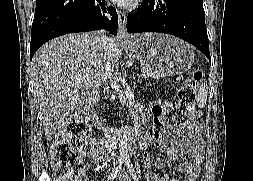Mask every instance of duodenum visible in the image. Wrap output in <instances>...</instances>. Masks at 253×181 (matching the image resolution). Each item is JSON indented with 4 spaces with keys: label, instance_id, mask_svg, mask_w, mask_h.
I'll return each mask as SVG.
<instances>
[{
    "label": "duodenum",
    "instance_id": "410a0bca",
    "mask_svg": "<svg viewBox=\"0 0 253 181\" xmlns=\"http://www.w3.org/2000/svg\"><path fill=\"white\" fill-rule=\"evenodd\" d=\"M94 99H90L88 101H86L84 104L81 105L80 107V112L81 114L87 116V117H90L91 118V106L92 104L94 103ZM127 134L128 136H134L135 133L130 131V130H127V129H115L111 132V135L114 136V137H119V136H122V135H125Z\"/></svg>",
    "mask_w": 253,
    "mask_h": 181
}]
</instances>
